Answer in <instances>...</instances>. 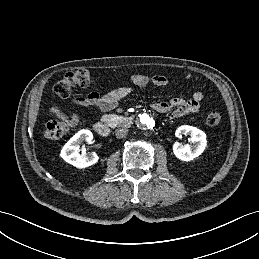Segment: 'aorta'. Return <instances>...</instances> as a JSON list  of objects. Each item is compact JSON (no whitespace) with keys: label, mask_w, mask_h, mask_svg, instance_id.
Masks as SVG:
<instances>
[{"label":"aorta","mask_w":259,"mask_h":259,"mask_svg":"<svg viewBox=\"0 0 259 259\" xmlns=\"http://www.w3.org/2000/svg\"><path fill=\"white\" fill-rule=\"evenodd\" d=\"M138 124L143 129H151L155 125V121L149 114H143L140 116Z\"/></svg>","instance_id":"762f6f07"}]
</instances>
